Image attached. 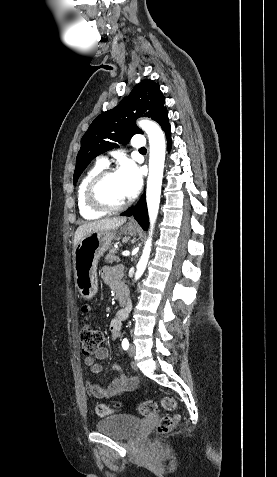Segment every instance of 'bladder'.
Segmentation results:
<instances>
[{"label":"bladder","mask_w":277,"mask_h":477,"mask_svg":"<svg viewBox=\"0 0 277 477\" xmlns=\"http://www.w3.org/2000/svg\"><path fill=\"white\" fill-rule=\"evenodd\" d=\"M140 426V420L130 414H112L100 419L96 424L99 433L114 439L132 436Z\"/></svg>","instance_id":"1"}]
</instances>
